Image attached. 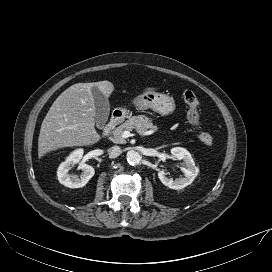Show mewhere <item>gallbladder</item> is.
<instances>
[{"label":"gallbladder","mask_w":272,"mask_h":272,"mask_svg":"<svg viewBox=\"0 0 272 272\" xmlns=\"http://www.w3.org/2000/svg\"><path fill=\"white\" fill-rule=\"evenodd\" d=\"M91 91L96 109V126L99 129H102L105 126L109 117V101L108 98L97 87H92Z\"/></svg>","instance_id":"bac80fb5"}]
</instances>
